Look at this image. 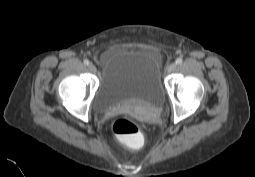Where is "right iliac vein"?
<instances>
[{"label":"right iliac vein","instance_id":"right-iliac-vein-1","mask_svg":"<svg viewBox=\"0 0 255 177\" xmlns=\"http://www.w3.org/2000/svg\"><path fill=\"white\" fill-rule=\"evenodd\" d=\"M88 69H89V71L92 72V73H95V72L97 71L95 65H93V64H90V65L88 66Z\"/></svg>","mask_w":255,"mask_h":177}]
</instances>
